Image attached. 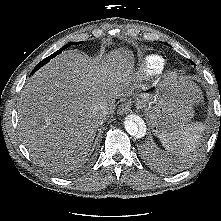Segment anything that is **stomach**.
Here are the masks:
<instances>
[{
  "label": "stomach",
  "mask_w": 221,
  "mask_h": 221,
  "mask_svg": "<svg viewBox=\"0 0 221 221\" xmlns=\"http://www.w3.org/2000/svg\"><path fill=\"white\" fill-rule=\"evenodd\" d=\"M183 88L162 99L150 112L152 128L159 136L186 126L193 115L192 100L183 95Z\"/></svg>",
  "instance_id": "1"
}]
</instances>
